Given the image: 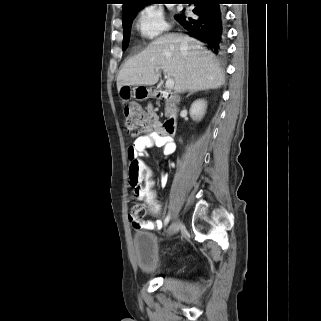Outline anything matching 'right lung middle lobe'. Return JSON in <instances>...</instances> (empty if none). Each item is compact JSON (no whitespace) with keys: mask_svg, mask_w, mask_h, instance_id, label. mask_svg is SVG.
Here are the masks:
<instances>
[{"mask_svg":"<svg viewBox=\"0 0 321 321\" xmlns=\"http://www.w3.org/2000/svg\"><path fill=\"white\" fill-rule=\"evenodd\" d=\"M136 12L128 13L122 16V23H123V32H124V38H123V50H125L129 43L130 38V31H131V24L132 20L135 18Z\"/></svg>","mask_w":321,"mask_h":321,"instance_id":"right-lung-middle-lobe-1","label":"right lung middle lobe"}]
</instances>
